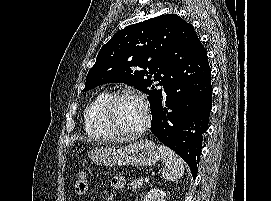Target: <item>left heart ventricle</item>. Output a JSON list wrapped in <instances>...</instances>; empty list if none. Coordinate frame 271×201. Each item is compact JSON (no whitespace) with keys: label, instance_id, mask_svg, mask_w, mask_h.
<instances>
[{"label":"left heart ventricle","instance_id":"left-heart-ventricle-1","mask_svg":"<svg viewBox=\"0 0 271 201\" xmlns=\"http://www.w3.org/2000/svg\"><path fill=\"white\" fill-rule=\"evenodd\" d=\"M113 115L116 124L126 131L138 129L145 120V111L141 102L130 96H124L117 100Z\"/></svg>","mask_w":271,"mask_h":201}]
</instances>
